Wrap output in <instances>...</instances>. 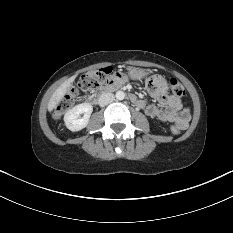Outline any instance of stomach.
Returning <instances> with one entry per match:
<instances>
[{
    "instance_id": "1",
    "label": "stomach",
    "mask_w": 233,
    "mask_h": 233,
    "mask_svg": "<svg viewBox=\"0 0 233 233\" xmlns=\"http://www.w3.org/2000/svg\"><path fill=\"white\" fill-rule=\"evenodd\" d=\"M128 72L129 74H133L135 76V80H140L143 77L147 76L149 73L147 70L138 68H128Z\"/></svg>"
}]
</instances>
